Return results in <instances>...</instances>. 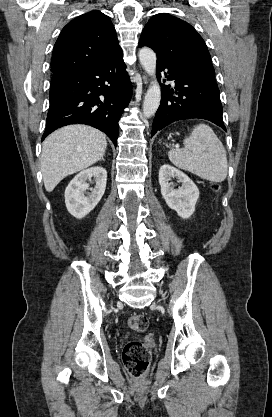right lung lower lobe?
<instances>
[{
  "instance_id": "obj_1",
  "label": "right lung lower lobe",
  "mask_w": 272,
  "mask_h": 417,
  "mask_svg": "<svg viewBox=\"0 0 272 417\" xmlns=\"http://www.w3.org/2000/svg\"><path fill=\"white\" fill-rule=\"evenodd\" d=\"M131 95L121 48L93 67L54 73L42 140L57 128L79 123L103 131L116 146L118 121Z\"/></svg>"
}]
</instances>
